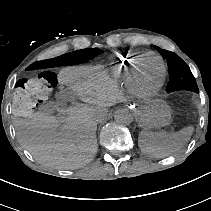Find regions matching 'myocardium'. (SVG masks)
Here are the masks:
<instances>
[{
    "mask_svg": "<svg viewBox=\"0 0 211 211\" xmlns=\"http://www.w3.org/2000/svg\"><path fill=\"white\" fill-rule=\"evenodd\" d=\"M155 60L160 65L161 74H160L158 81L154 85L147 84V81H146L145 77H143V73L141 71L133 79V89H134L135 93L140 97L153 96L154 94H156L159 91V89L162 86L164 73H165V67L160 58L156 57ZM146 67H147L146 63L141 64V68H146Z\"/></svg>",
    "mask_w": 211,
    "mask_h": 211,
    "instance_id": "1",
    "label": "myocardium"
}]
</instances>
